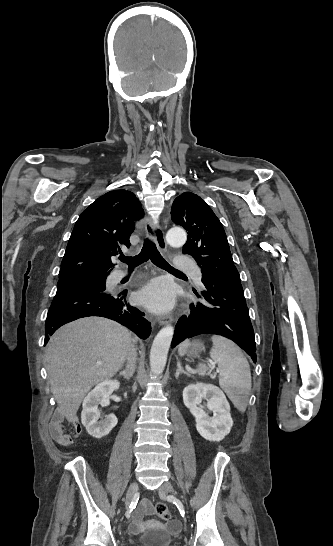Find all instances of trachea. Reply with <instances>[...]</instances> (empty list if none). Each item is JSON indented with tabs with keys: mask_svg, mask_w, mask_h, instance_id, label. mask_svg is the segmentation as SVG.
<instances>
[{
	"mask_svg": "<svg viewBox=\"0 0 333 546\" xmlns=\"http://www.w3.org/2000/svg\"><path fill=\"white\" fill-rule=\"evenodd\" d=\"M120 261L127 263L129 268H134L149 259L151 262L156 265L157 267L164 269L169 272L174 273H180L183 274L181 271L173 268L160 254L158 251L156 245L150 241L145 240L144 245L141 249V252L138 255H135L134 257H126L124 255L119 257Z\"/></svg>",
	"mask_w": 333,
	"mask_h": 546,
	"instance_id": "trachea-1",
	"label": "trachea"
}]
</instances>
